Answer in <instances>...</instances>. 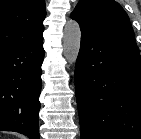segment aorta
Here are the masks:
<instances>
[{
	"mask_svg": "<svg viewBox=\"0 0 141 139\" xmlns=\"http://www.w3.org/2000/svg\"><path fill=\"white\" fill-rule=\"evenodd\" d=\"M81 30L77 21L69 20L64 27L63 49L64 57L70 64L75 63L79 54Z\"/></svg>",
	"mask_w": 141,
	"mask_h": 139,
	"instance_id": "1",
	"label": "aorta"
}]
</instances>
